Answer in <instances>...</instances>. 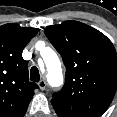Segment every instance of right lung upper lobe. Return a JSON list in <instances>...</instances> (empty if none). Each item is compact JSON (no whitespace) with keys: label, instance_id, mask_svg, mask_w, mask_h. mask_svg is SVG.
Returning <instances> with one entry per match:
<instances>
[{"label":"right lung upper lobe","instance_id":"obj_1","mask_svg":"<svg viewBox=\"0 0 117 117\" xmlns=\"http://www.w3.org/2000/svg\"><path fill=\"white\" fill-rule=\"evenodd\" d=\"M37 32L13 23L0 26V117H23L39 88L29 81L28 63L22 58V50Z\"/></svg>","mask_w":117,"mask_h":117}]
</instances>
